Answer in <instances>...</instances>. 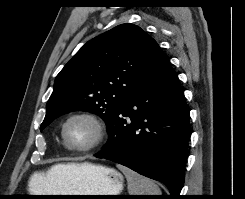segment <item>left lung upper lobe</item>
I'll return each mask as SVG.
<instances>
[{"label":"left lung upper lobe","instance_id":"1","mask_svg":"<svg viewBox=\"0 0 245 199\" xmlns=\"http://www.w3.org/2000/svg\"><path fill=\"white\" fill-rule=\"evenodd\" d=\"M163 54L157 42L133 24L118 25L88 41L57 75L40 130L75 110L95 113L108 125Z\"/></svg>","mask_w":245,"mask_h":199}]
</instances>
